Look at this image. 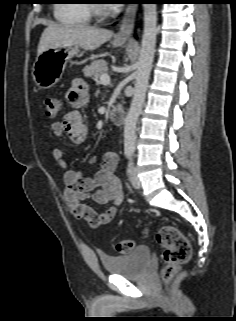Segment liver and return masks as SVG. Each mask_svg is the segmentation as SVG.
<instances>
[{"label": "liver", "mask_w": 236, "mask_h": 321, "mask_svg": "<svg viewBox=\"0 0 236 321\" xmlns=\"http://www.w3.org/2000/svg\"><path fill=\"white\" fill-rule=\"evenodd\" d=\"M113 32L85 26L69 27L49 24L43 31L37 54L53 46H78L86 50H95L110 40Z\"/></svg>", "instance_id": "liver-1"}]
</instances>
